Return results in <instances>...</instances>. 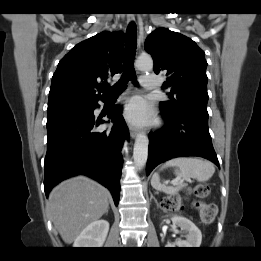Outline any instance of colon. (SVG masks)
Segmentation results:
<instances>
[{
    "label": "colon",
    "mask_w": 261,
    "mask_h": 261,
    "mask_svg": "<svg viewBox=\"0 0 261 261\" xmlns=\"http://www.w3.org/2000/svg\"><path fill=\"white\" fill-rule=\"evenodd\" d=\"M209 186L205 184H198L187 191V195H194L197 198H205L209 195ZM163 209L171 212H179L183 209V199L179 195L165 197L161 201ZM195 209L198 211L200 220L203 224H211L216 215V206L214 204H205L197 201L194 204Z\"/></svg>",
    "instance_id": "1"
}]
</instances>
